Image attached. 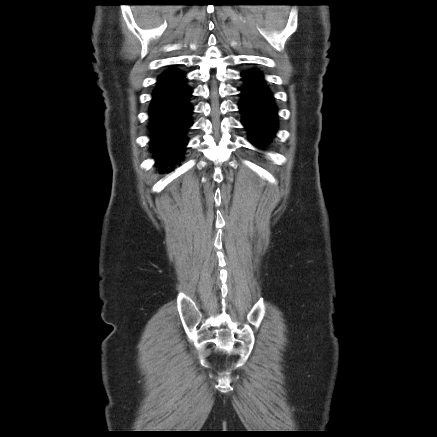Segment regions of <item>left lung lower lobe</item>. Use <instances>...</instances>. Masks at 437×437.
I'll use <instances>...</instances> for the list:
<instances>
[{
	"label": "left lung lower lobe",
	"mask_w": 437,
	"mask_h": 437,
	"mask_svg": "<svg viewBox=\"0 0 437 437\" xmlns=\"http://www.w3.org/2000/svg\"><path fill=\"white\" fill-rule=\"evenodd\" d=\"M241 76L243 85L238 90L242 124L248 131L251 143L261 148L270 142L277 131V107L261 71L251 69L243 71Z\"/></svg>",
	"instance_id": "0a47b994"
}]
</instances>
